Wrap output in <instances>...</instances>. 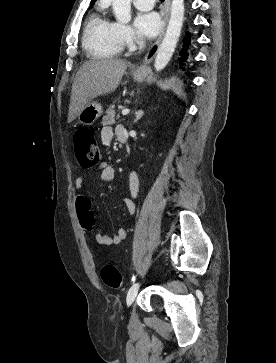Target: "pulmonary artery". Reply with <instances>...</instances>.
Masks as SVG:
<instances>
[{
  "instance_id": "e3ab8cb5",
  "label": "pulmonary artery",
  "mask_w": 276,
  "mask_h": 363,
  "mask_svg": "<svg viewBox=\"0 0 276 363\" xmlns=\"http://www.w3.org/2000/svg\"><path fill=\"white\" fill-rule=\"evenodd\" d=\"M155 0H133L135 7L140 10L148 11L153 8Z\"/></svg>"
}]
</instances>
